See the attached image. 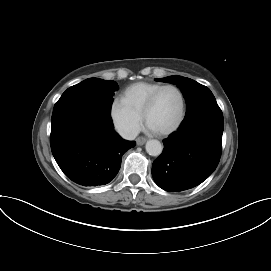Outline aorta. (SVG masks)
Here are the masks:
<instances>
[{
	"instance_id": "obj_1",
	"label": "aorta",
	"mask_w": 271,
	"mask_h": 271,
	"mask_svg": "<svg viewBox=\"0 0 271 271\" xmlns=\"http://www.w3.org/2000/svg\"><path fill=\"white\" fill-rule=\"evenodd\" d=\"M146 152L151 156H159L162 153L163 147L158 140H148L146 143Z\"/></svg>"
}]
</instances>
